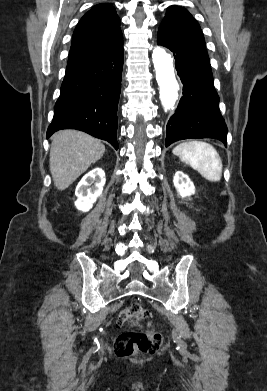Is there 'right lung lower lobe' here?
<instances>
[{
  "mask_svg": "<svg viewBox=\"0 0 267 391\" xmlns=\"http://www.w3.org/2000/svg\"><path fill=\"white\" fill-rule=\"evenodd\" d=\"M123 45L67 65L47 138L61 129H77L111 143L117 150V108L121 90Z\"/></svg>",
  "mask_w": 267,
  "mask_h": 391,
  "instance_id": "1",
  "label": "right lung lower lobe"
}]
</instances>
